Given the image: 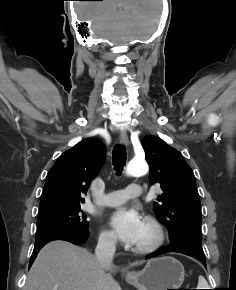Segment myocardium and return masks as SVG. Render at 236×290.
<instances>
[{
  "mask_svg": "<svg viewBox=\"0 0 236 290\" xmlns=\"http://www.w3.org/2000/svg\"><path fill=\"white\" fill-rule=\"evenodd\" d=\"M145 228L149 231V239L142 243L135 245L133 250L137 253L146 254L156 251L164 241V230L161 224L152 217H147L144 223Z\"/></svg>",
  "mask_w": 236,
  "mask_h": 290,
  "instance_id": "1",
  "label": "myocardium"
}]
</instances>
